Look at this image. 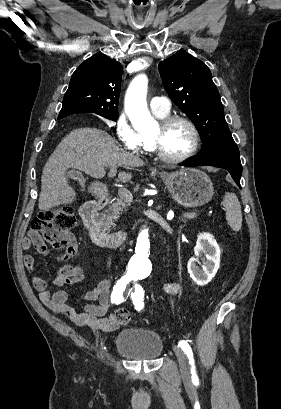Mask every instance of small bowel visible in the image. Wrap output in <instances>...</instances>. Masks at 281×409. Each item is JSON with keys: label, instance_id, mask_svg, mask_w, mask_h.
<instances>
[{"label": "small bowel", "instance_id": "small-bowel-1", "mask_svg": "<svg viewBox=\"0 0 281 409\" xmlns=\"http://www.w3.org/2000/svg\"><path fill=\"white\" fill-rule=\"evenodd\" d=\"M32 244L37 252H45L46 245L41 238L37 237L34 231H30L28 237L23 239L22 248L28 250ZM24 265L31 277L34 288L38 292L40 300L50 309L64 316L77 326L113 332L120 325H124L116 319L115 313L107 314L111 306L113 286L111 280H102L95 288L79 293L77 300L85 302V304L77 306L70 302L69 293L66 290L51 291L48 288L47 282L36 274L34 258L31 255L24 256ZM83 278L84 271L80 266L66 264L57 270L52 283L56 287H64L79 283ZM165 290L170 294L176 295L180 292L181 286L177 282H171L165 285Z\"/></svg>", "mask_w": 281, "mask_h": 409}]
</instances>
